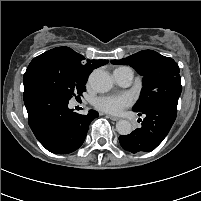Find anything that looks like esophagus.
<instances>
[{
  "mask_svg": "<svg viewBox=\"0 0 201 201\" xmlns=\"http://www.w3.org/2000/svg\"><path fill=\"white\" fill-rule=\"evenodd\" d=\"M107 118L113 120V121H118L119 120V117H116V116H112V115H106Z\"/></svg>",
  "mask_w": 201,
  "mask_h": 201,
  "instance_id": "obj_1",
  "label": "esophagus"
}]
</instances>
